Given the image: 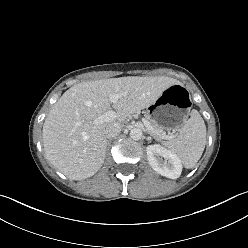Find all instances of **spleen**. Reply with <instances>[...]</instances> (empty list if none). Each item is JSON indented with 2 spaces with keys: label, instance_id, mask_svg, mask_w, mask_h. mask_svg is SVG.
I'll return each instance as SVG.
<instances>
[{
  "label": "spleen",
  "instance_id": "1",
  "mask_svg": "<svg viewBox=\"0 0 248 248\" xmlns=\"http://www.w3.org/2000/svg\"><path fill=\"white\" fill-rule=\"evenodd\" d=\"M206 145V126L197 110H192L190 118L179 129L175 139L166 143L185 168H193L201 158Z\"/></svg>",
  "mask_w": 248,
  "mask_h": 248
}]
</instances>
